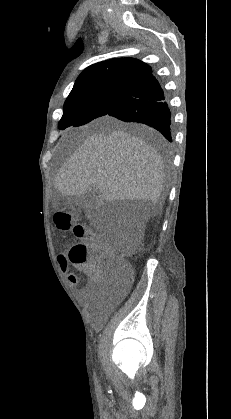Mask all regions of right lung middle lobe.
Instances as JSON below:
<instances>
[{"mask_svg":"<svg viewBox=\"0 0 231 419\" xmlns=\"http://www.w3.org/2000/svg\"><path fill=\"white\" fill-rule=\"evenodd\" d=\"M134 86L103 85L71 92L64 104V113L58 124L64 130L69 126H81L95 118L107 115L121 103Z\"/></svg>","mask_w":231,"mask_h":419,"instance_id":"right-lung-middle-lobe-1","label":"right lung middle lobe"}]
</instances>
